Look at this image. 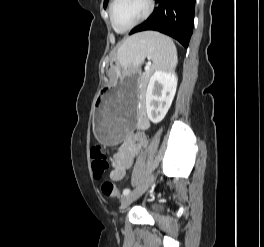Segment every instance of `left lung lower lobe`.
Here are the masks:
<instances>
[{"label":"left lung lower lobe","mask_w":264,"mask_h":247,"mask_svg":"<svg viewBox=\"0 0 264 247\" xmlns=\"http://www.w3.org/2000/svg\"><path fill=\"white\" fill-rule=\"evenodd\" d=\"M156 7L151 16L135 27L130 35L154 30L171 36L185 48L193 32L195 0H155Z\"/></svg>","instance_id":"obj_1"}]
</instances>
